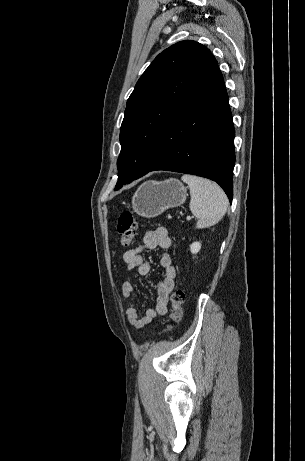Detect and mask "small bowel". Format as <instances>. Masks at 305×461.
<instances>
[{
	"mask_svg": "<svg viewBox=\"0 0 305 461\" xmlns=\"http://www.w3.org/2000/svg\"><path fill=\"white\" fill-rule=\"evenodd\" d=\"M171 239L167 229L159 227L149 231L144 235L140 245L129 249L123 253V261L129 271H135L139 276H146L150 273V264L146 262L142 253L145 250L160 248L169 249ZM161 267L164 271L163 279L158 284V297L156 306L148 308L144 313H140L134 303H130L126 309L127 320L130 325L141 329L150 324L157 315H164L169 309V295L175 286L176 269L173 265L172 258L168 253H164L160 259ZM122 295L129 300L135 299L137 293L132 282L126 281L122 285Z\"/></svg>",
	"mask_w": 305,
	"mask_h": 461,
	"instance_id": "c3829d8e",
	"label": "small bowel"
}]
</instances>
